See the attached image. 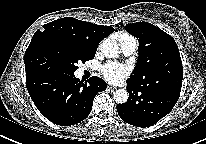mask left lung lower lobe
Segmentation results:
<instances>
[{
  "label": "left lung lower lobe",
  "instance_id": "1",
  "mask_svg": "<svg viewBox=\"0 0 206 144\" xmlns=\"http://www.w3.org/2000/svg\"><path fill=\"white\" fill-rule=\"evenodd\" d=\"M182 84L150 87L127 80L129 99L117 105L121 119L137 127H150L170 113L176 104Z\"/></svg>",
  "mask_w": 206,
  "mask_h": 144
}]
</instances>
